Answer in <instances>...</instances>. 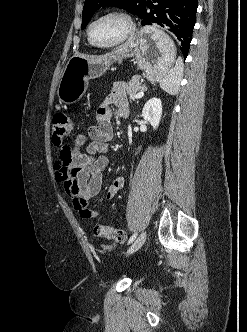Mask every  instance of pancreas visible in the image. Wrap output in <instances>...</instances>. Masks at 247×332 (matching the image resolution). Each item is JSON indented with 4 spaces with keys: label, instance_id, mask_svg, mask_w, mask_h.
Segmentation results:
<instances>
[{
    "label": "pancreas",
    "instance_id": "1",
    "mask_svg": "<svg viewBox=\"0 0 247 332\" xmlns=\"http://www.w3.org/2000/svg\"><path fill=\"white\" fill-rule=\"evenodd\" d=\"M145 90V86L140 83V77L135 76L129 81V86L127 88V94L130 99H134L135 95L141 91Z\"/></svg>",
    "mask_w": 247,
    "mask_h": 332
}]
</instances>
